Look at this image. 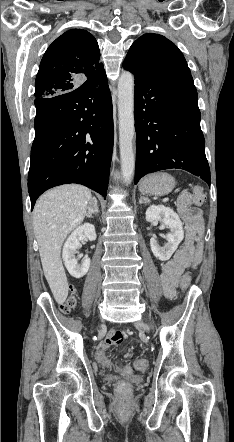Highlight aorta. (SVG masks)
<instances>
[{"label": "aorta", "instance_id": "obj_1", "mask_svg": "<svg viewBox=\"0 0 234 442\" xmlns=\"http://www.w3.org/2000/svg\"><path fill=\"white\" fill-rule=\"evenodd\" d=\"M119 149L124 183L130 184L135 170L133 139L134 127V76L129 71L121 73L118 80Z\"/></svg>", "mask_w": 234, "mask_h": 442}]
</instances>
